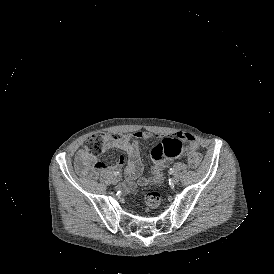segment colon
<instances>
[{"instance_id": "colon-1", "label": "colon", "mask_w": 274, "mask_h": 274, "mask_svg": "<svg viewBox=\"0 0 274 274\" xmlns=\"http://www.w3.org/2000/svg\"><path fill=\"white\" fill-rule=\"evenodd\" d=\"M104 140H105V135L102 133H96L91 136H89L84 144V151L90 155V156H99L103 152L104 149ZM204 161V158L202 154L195 152L191 154L189 158V165L192 168H199ZM160 203V196L157 192L155 191H149L144 195L143 198V205L148 208H155L159 205Z\"/></svg>"}]
</instances>
